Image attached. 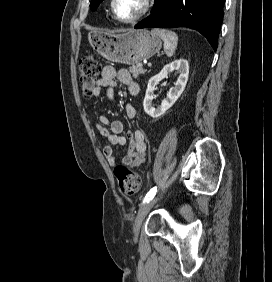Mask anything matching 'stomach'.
<instances>
[{"mask_svg":"<svg viewBox=\"0 0 272 282\" xmlns=\"http://www.w3.org/2000/svg\"><path fill=\"white\" fill-rule=\"evenodd\" d=\"M88 41L107 60L128 65L149 59L162 47L160 38L147 29H130L124 33L90 32Z\"/></svg>","mask_w":272,"mask_h":282,"instance_id":"1","label":"stomach"}]
</instances>
